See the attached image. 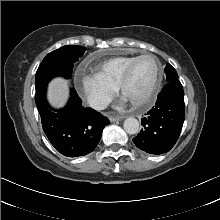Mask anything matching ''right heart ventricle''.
<instances>
[{
    "instance_id": "right-heart-ventricle-1",
    "label": "right heart ventricle",
    "mask_w": 220,
    "mask_h": 220,
    "mask_svg": "<svg viewBox=\"0 0 220 220\" xmlns=\"http://www.w3.org/2000/svg\"><path fill=\"white\" fill-rule=\"evenodd\" d=\"M136 57V55L113 57L94 65L93 70L97 76L117 88L126 67Z\"/></svg>"
}]
</instances>
